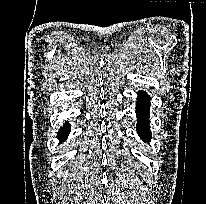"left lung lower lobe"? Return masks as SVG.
Returning a JSON list of instances; mask_svg holds the SVG:
<instances>
[{
	"label": "left lung lower lobe",
	"mask_w": 206,
	"mask_h": 204,
	"mask_svg": "<svg viewBox=\"0 0 206 204\" xmlns=\"http://www.w3.org/2000/svg\"><path fill=\"white\" fill-rule=\"evenodd\" d=\"M139 98L137 99L136 114L137 120V131L141 139L145 142H149L151 138L150 126L148 124L149 120V108L150 99L147 94L139 92Z\"/></svg>",
	"instance_id": "obj_1"
}]
</instances>
